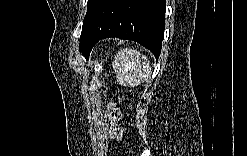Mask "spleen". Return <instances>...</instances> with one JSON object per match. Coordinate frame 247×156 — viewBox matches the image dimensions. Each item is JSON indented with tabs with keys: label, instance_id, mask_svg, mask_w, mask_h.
<instances>
[{
	"label": "spleen",
	"instance_id": "obj_1",
	"mask_svg": "<svg viewBox=\"0 0 247 156\" xmlns=\"http://www.w3.org/2000/svg\"><path fill=\"white\" fill-rule=\"evenodd\" d=\"M117 82L123 86H137L147 81L151 68L147 57L134 49L120 50L113 61Z\"/></svg>",
	"mask_w": 247,
	"mask_h": 156
}]
</instances>
